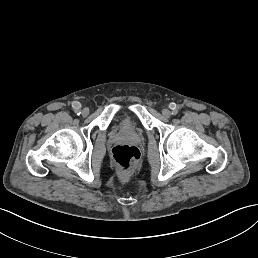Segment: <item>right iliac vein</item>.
I'll return each mask as SVG.
<instances>
[{
  "instance_id": "63e3f726",
  "label": "right iliac vein",
  "mask_w": 258,
  "mask_h": 258,
  "mask_svg": "<svg viewBox=\"0 0 258 258\" xmlns=\"http://www.w3.org/2000/svg\"><path fill=\"white\" fill-rule=\"evenodd\" d=\"M81 114H82L84 117H87V116L90 114V111H89L87 108H84V109L81 111Z\"/></svg>"
}]
</instances>
